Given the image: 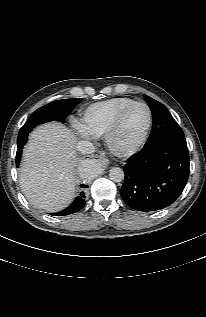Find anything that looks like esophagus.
Instances as JSON below:
<instances>
[{"label":"esophagus","mask_w":206,"mask_h":317,"mask_svg":"<svg viewBox=\"0 0 206 317\" xmlns=\"http://www.w3.org/2000/svg\"><path fill=\"white\" fill-rule=\"evenodd\" d=\"M95 158H97L98 162L101 164V165H108L109 164V160L106 158L105 154L104 153H101L100 155L98 156H95Z\"/></svg>","instance_id":"obj_1"}]
</instances>
